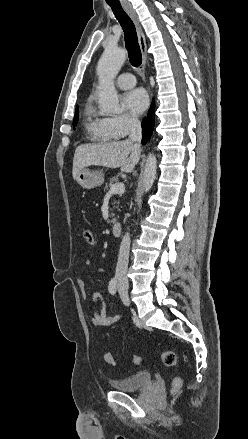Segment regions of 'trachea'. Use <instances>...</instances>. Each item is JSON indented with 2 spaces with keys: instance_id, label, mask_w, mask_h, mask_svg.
<instances>
[{
  "instance_id": "obj_1",
  "label": "trachea",
  "mask_w": 248,
  "mask_h": 439,
  "mask_svg": "<svg viewBox=\"0 0 248 439\" xmlns=\"http://www.w3.org/2000/svg\"><path fill=\"white\" fill-rule=\"evenodd\" d=\"M109 6L124 31L125 45L129 54L130 63L132 66L139 68L142 64V54L138 43L135 25L121 5L109 4Z\"/></svg>"
}]
</instances>
